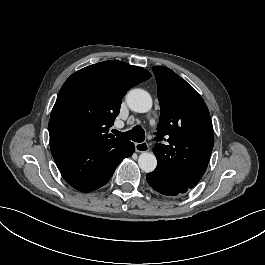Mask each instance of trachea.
Returning <instances> with one entry per match:
<instances>
[{
	"label": "trachea",
	"instance_id": "3493384b",
	"mask_svg": "<svg viewBox=\"0 0 265 265\" xmlns=\"http://www.w3.org/2000/svg\"><path fill=\"white\" fill-rule=\"evenodd\" d=\"M112 133L115 134L119 139L132 140L135 142H143L145 139L144 129L137 125L127 132H120L118 130H112Z\"/></svg>",
	"mask_w": 265,
	"mask_h": 265
}]
</instances>
